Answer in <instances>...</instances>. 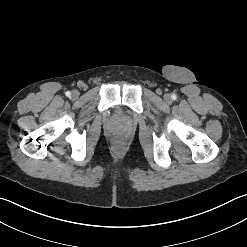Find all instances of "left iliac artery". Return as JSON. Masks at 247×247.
<instances>
[{"mask_svg": "<svg viewBox=\"0 0 247 247\" xmlns=\"http://www.w3.org/2000/svg\"><path fill=\"white\" fill-rule=\"evenodd\" d=\"M171 98H172L173 100H176L177 96H176L175 94H173V95L171 96Z\"/></svg>", "mask_w": 247, "mask_h": 247, "instance_id": "44dca946", "label": "left iliac artery"}]
</instances>
